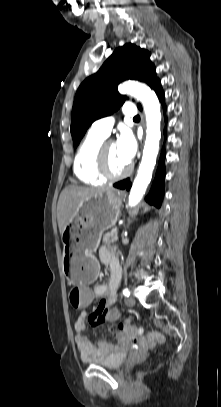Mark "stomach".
<instances>
[{"label": "stomach", "instance_id": "obj_1", "mask_svg": "<svg viewBox=\"0 0 221 407\" xmlns=\"http://www.w3.org/2000/svg\"><path fill=\"white\" fill-rule=\"evenodd\" d=\"M121 204V194L108 189L85 199L66 225L61 234L62 267L72 284L92 283L97 278L99 263L94 253L103 232L116 224Z\"/></svg>", "mask_w": 221, "mask_h": 407}]
</instances>
